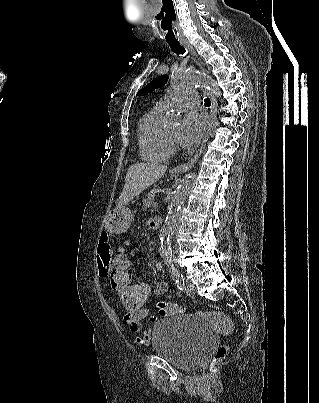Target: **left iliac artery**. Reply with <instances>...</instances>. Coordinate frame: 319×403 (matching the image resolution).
Wrapping results in <instances>:
<instances>
[{
	"mask_svg": "<svg viewBox=\"0 0 319 403\" xmlns=\"http://www.w3.org/2000/svg\"><path fill=\"white\" fill-rule=\"evenodd\" d=\"M170 268H171V271L174 276L178 289L183 290L185 282H184V277H183L182 273L171 263H170Z\"/></svg>",
	"mask_w": 319,
	"mask_h": 403,
	"instance_id": "left-iliac-artery-1",
	"label": "left iliac artery"
}]
</instances>
